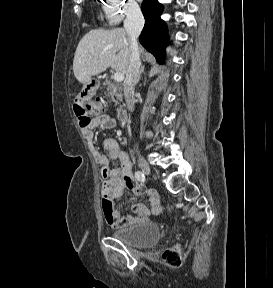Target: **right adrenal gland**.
I'll return each mask as SVG.
<instances>
[{
    "instance_id": "2a0ac1e0",
    "label": "right adrenal gland",
    "mask_w": 273,
    "mask_h": 288,
    "mask_svg": "<svg viewBox=\"0 0 273 288\" xmlns=\"http://www.w3.org/2000/svg\"><path fill=\"white\" fill-rule=\"evenodd\" d=\"M144 68H145L144 66H141V68L139 70L137 83L139 82L141 75L144 73Z\"/></svg>"
}]
</instances>
